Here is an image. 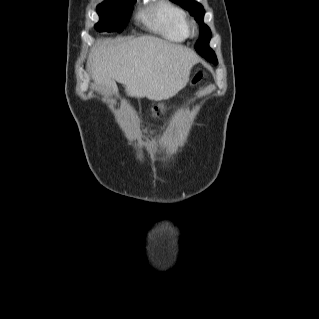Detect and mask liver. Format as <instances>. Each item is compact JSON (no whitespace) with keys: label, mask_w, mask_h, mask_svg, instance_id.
<instances>
[{"label":"liver","mask_w":319,"mask_h":319,"mask_svg":"<svg viewBox=\"0 0 319 319\" xmlns=\"http://www.w3.org/2000/svg\"><path fill=\"white\" fill-rule=\"evenodd\" d=\"M199 59L192 50L155 36L130 40L101 39L91 49L88 66L95 85L117 93L115 81L131 97L161 101L175 96L189 81Z\"/></svg>","instance_id":"liver-1"}]
</instances>
